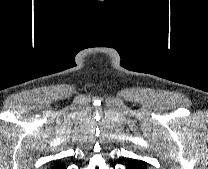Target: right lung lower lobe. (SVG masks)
<instances>
[{"label":"right lung lower lobe","mask_w":208,"mask_h":169,"mask_svg":"<svg viewBox=\"0 0 208 169\" xmlns=\"http://www.w3.org/2000/svg\"><path fill=\"white\" fill-rule=\"evenodd\" d=\"M52 169H66L63 163H55Z\"/></svg>","instance_id":"98d812e1"}]
</instances>
